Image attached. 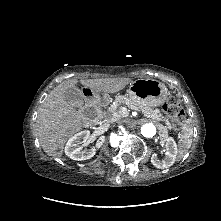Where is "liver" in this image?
Masks as SVG:
<instances>
[{
	"instance_id": "1",
	"label": "liver",
	"mask_w": 221,
	"mask_h": 221,
	"mask_svg": "<svg viewBox=\"0 0 221 221\" xmlns=\"http://www.w3.org/2000/svg\"><path fill=\"white\" fill-rule=\"evenodd\" d=\"M130 82V78H104L82 80L81 84L116 93ZM76 83V80H70L59 84L39 109L35 130L44 152L49 156L61 157L67 139L88 126L83 113L76 110L75 105L69 104L64 97L65 90L75 87Z\"/></svg>"
}]
</instances>
